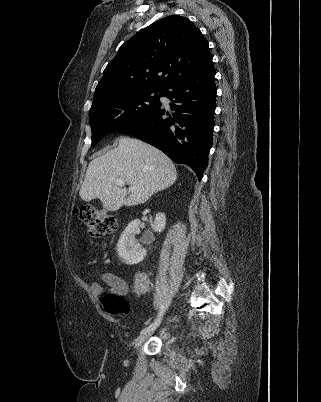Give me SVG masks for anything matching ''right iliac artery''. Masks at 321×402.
Masks as SVG:
<instances>
[{
  "instance_id": "1",
  "label": "right iliac artery",
  "mask_w": 321,
  "mask_h": 402,
  "mask_svg": "<svg viewBox=\"0 0 321 402\" xmlns=\"http://www.w3.org/2000/svg\"><path fill=\"white\" fill-rule=\"evenodd\" d=\"M166 307H167V304H162V305L160 306V311H159V313H158L157 319L154 321V323H152V324L149 325L148 327L144 328V329L141 331V334H142V333L151 332V331H153L154 329H156V327H157V326L160 324V322H161V319H162V316H163V314H164V312H165V310H166Z\"/></svg>"
}]
</instances>
